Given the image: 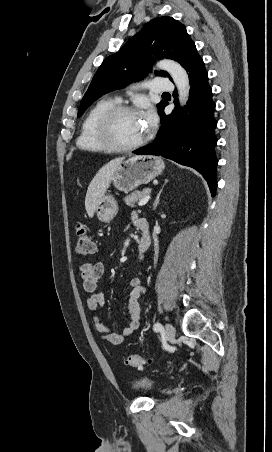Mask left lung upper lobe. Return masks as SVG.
Wrapping results in <instances>:
<instances>
[{
  "label": "left lung upper lobe",
  "instance_id": "1",
  "mask_svg": "<svg viewBox=\"0 0 272 452\" xmlns=\"http://www.w3.org/2000/svg\"><path fill=\"white\" fill-rule=\"evenodd\" d=\"M194 45L186 28L177 20L172 17L153 19L117 53L103 61L81 101L77 116L80 117L102 95L142 78L158 59L169 58L183 65ZM156 74L170 78L165 71ZM164 103L158 104L159 112Z\"/></svg>",
  "mask_w": 272,
  "mask_h": 452
}]
</instances>
